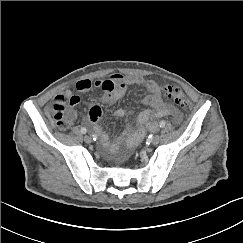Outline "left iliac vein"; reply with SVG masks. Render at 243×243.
I'll use <instances>...</instances> for the list:
<instances>
[{
	"instance_id": "left-iliac-vein-1",
	"label": "left iliac vein",
	"mask_w": 243,
	"mask_h": 243,
	"mask_svg": "<svg viewBox=\"0 0 243 243\" xmlns=\"http://www.w3.org/2000/svg\"><path fill=\"white\" fill-rule=\"evenodd\" d=\"M160 141V137L159 135H155L152 139H151V144H158Z\"/></svg>"
}]
</instances>
